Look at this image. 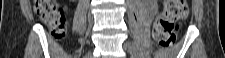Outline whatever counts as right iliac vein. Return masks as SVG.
Masks as SVG:
<instances>
[{
  "instance_id": "right-iliac-vein-1",
  "label": "right iliac vein",
  "mask_w": 225,
  "mask_h": 58,
  "mask_svg": "<svg viewBox=\"0 0 225 58\" xmlns=\"http://www.w3.org/2000/svg\"><path fill=\"white\" fill-rule=\"evenodd\" d=\"M88 55L91 56V53H89ZM89 56H88V58H89Z\"/></svg>"
}]
</instances>
